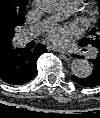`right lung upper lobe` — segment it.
Here are the masks:
<instances>
[{"label":"right lung upper lobe","instance_id":"obj_1","mask_svg":"<svg viewBox=\"0 0 100 118\" xmlns=\"http://www.w3.org/2000/svg\"><path fill=\"white\" fill-rule=\"evenodd\" d=\"M28 0H0V54L13 49L14 29L24 23Z\"/></svg>","mask_w":100,"mask_h":118}]
</instances>
